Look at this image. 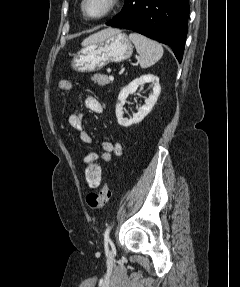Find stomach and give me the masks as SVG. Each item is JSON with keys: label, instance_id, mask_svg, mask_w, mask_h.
<instances>
[{"label": "stomach", "instance_id": "0dacf381", "mask_svg": "<svg viewBox=\"0 0 240 287\" xmlns=\"http://www.w3.org/2000/svg\"><path fill=\"white\" fill-rule=\"evenodd\" d=\"M133 45L127 35L112 29L105 36L85 43L72 61V68L79 72L100 70L110 63L122 62L131 57Z\"/></svg>", "mask_w": 240, "mask_h": 287}]
</instances>
